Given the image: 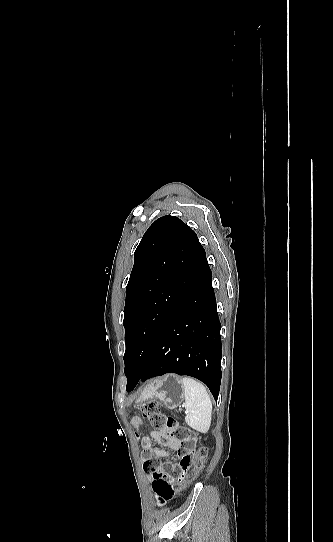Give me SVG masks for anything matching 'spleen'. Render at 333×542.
Returning <instances> with one entry per match:
<instances>
[{
    "mask_svg": "<svg viewBox=\"0 0 333 542\" xmlns=\"http://www.w3.org/2000/svg\"><path fill=\"white\" fill-rule=\"evenodd\" d=\"M184 398L185 422L192 430L207 434L212 420V402L204 386L193 378H182L181 380Z\"/></svg>",
    "mask_w": 333,
    "mask_h": 542,
    "instance_id": "1",
    "label": "spleen"
}]
</instances>
